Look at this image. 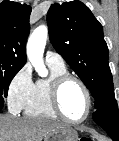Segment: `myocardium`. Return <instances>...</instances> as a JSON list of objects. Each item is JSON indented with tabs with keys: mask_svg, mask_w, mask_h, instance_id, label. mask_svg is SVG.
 <instances>
[{
	"mask_svg": "<svg viewBox=\"0 0 119 141\" xmlns=\"http://www.w3.org/2000/svg\"><path fill=\"white\" fill-rule=\"evenodd\" d=\"M70 81L76 82L82 88L84 95L86 97L87 109L83 117L80 119H71L67 117L61 108V103H60L61 91L63 87ZM49 97H50L51 106L54 112L56 113V115L61 119L70 123L78 124L84 122L89 117L92 111V98L88 87L80 78L71 75L69 73L57 76L52 80L49 88Z\"/></svg>",
	"mask_w": 119,
	"mask_h": 141,
	"instance_id": "f54148a6",
	"label": "myocardium"
}]
</instances>
